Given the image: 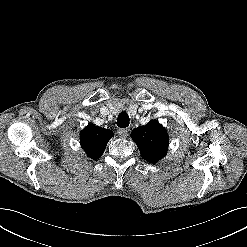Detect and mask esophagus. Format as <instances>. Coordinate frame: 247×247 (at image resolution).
<instances>
[{"label": "esophagus", "instance_id": "34e87169", "mask_svg": "<svg viewBox=\"0 0 247 247\" xmlns=\"http://www.w3.org/2000/svg\"><path fill=\"white\" fill-rule=\"evenodd\" d=\"M129 134V129L128 128H120L118 129V135L121 138H126Z\"/></svg>", "mask_w": 247, "mask_h": 247}]
</instances>
